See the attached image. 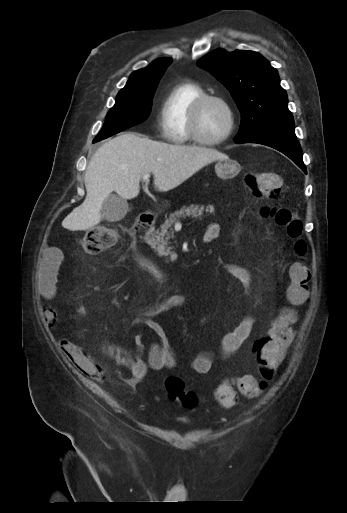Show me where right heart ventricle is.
<instances>
[{
  "instance_id": "e07e8e85",
  "label": "right heart ventricle",
  "mask_w": 347,
  "mask_h": 513,
  "mask_svg": "<svg viewBox=\"0 0 347 513\" xmlns=\"http://www.w3.org/2000/svg\"><path fill=\"white\" fill-rule=\"evenodd\" d=\"M205 93L200 85L190 80H181L168 90L160 110L161 134L167 141L178 145L192 142L188 130L189 111L194 101Z\"/></svg>"
}]
</instances>
